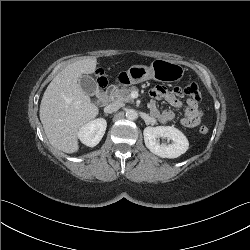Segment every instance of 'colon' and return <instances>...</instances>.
<instances>
[{
	"label": "colon",
	"mask_w": 250,
	"mask_h": 250,
	"mask_svg": "<svg viewBox=\"0 0 250 250\" xmlns=\"http://www.w3.org/2000/svg\"><path fill=\"white\" fill-rule=\"evenodd\" d=\"M97 80L101 86L105 84V77L103 72L97 73ZM184 93L193 101L199 102L201 99V92L196 83H191L188 86L185 87ZM200 133L206 134L208 133L209 129L207 126L202 125L199 129Z\"/></svg>",
	"instance_id": "colon-1"
}]
</instances>
